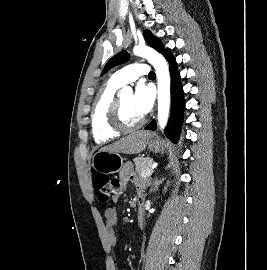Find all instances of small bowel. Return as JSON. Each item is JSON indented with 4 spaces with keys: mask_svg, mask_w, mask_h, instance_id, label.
I'll use <instances>...</instances> for the list:
<instances>
[{
    "mask_svg": "<svg viewBox=\"0 0 267 270\" xmlns=\"http://www.w3.org/2000/svg\"><path fill=\"white\" fill-rule=\"evenodd\" d=\"M120 180L123 185L128 181L135 182L140 187L138 197H142V198L145 197V193L143 191L144 183L134 175L131 165H125L122 168L120 172ZM117 220H118L117 210L112 207L107 208L105 210L106 234H107V240H108L109 246L112 249H115L117 245V234L115 230ZM114 264L116 265L115 260H114Z\"/></svg>",
    "mask_w": 267,
    "mask_h": 270,
    "instance_id": "obj_1",
    "label": "small bowel"
}]
</instances>
